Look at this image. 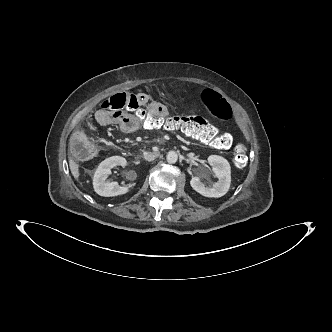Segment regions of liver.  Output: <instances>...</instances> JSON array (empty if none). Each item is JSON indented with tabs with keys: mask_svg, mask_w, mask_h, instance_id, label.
Masks as SVG:
<instances>
[{
	"mask_svg": "<svg viewBox=\"0 0 332 332\" xmlns=\"http://www.w3.org/2000/svg\"><path fill=\"white\" fill-rule=\"evenodd\" d=\"M69 167L71 170L72 175L74 176V178H78L80 173H79V165L73 160V159H69Z\"/></svg>",
	"mask_w": 332,
	"mask_h": 332,
	"instance_id": "6515ba94",
	"label": "liver"
}]
</instances>
